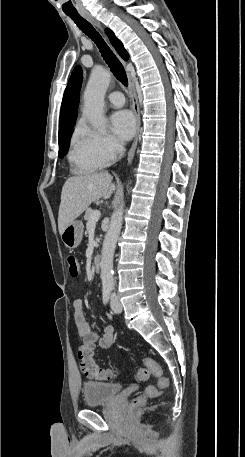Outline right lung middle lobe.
<instances>
[{
    "mask_svg": "<svg viewBox=\"0 0 245 457\" xmlns=\"http://www.w3.org/2000/svg\"><path fill=\"white\" fill-rule=\"evenodd\" d=\"M74 125H75V123H72V124L59 128V136H58L59 158H62L68 151L69 140H70L71 134L73 133Z\"/></svg>",
    "mask_w": 245,
    "mask_h": 457,
    "instance_id": "1",
    "label": "right lung middle lobe"
}]
</instances>
